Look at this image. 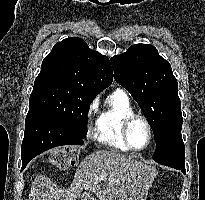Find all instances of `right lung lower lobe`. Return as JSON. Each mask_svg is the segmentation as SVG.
I'll return each instance as SVG.
<instances>
[{"label":"right lung lower lobe","instance_id":"98d812e1","mask_svg":"<svg viewBox=\"0 0 205 200\" xmlns=\"http://www.w3.org/2000/svg\"><path fill=\"white\" fill-rule=\"evenodd\" d=\"M84 141L60 121L39 110H29L21 148L22 169L38 154L60 145H81Z\"/></svg>","mask_w":205,"mask_h":200}]
</instances>
